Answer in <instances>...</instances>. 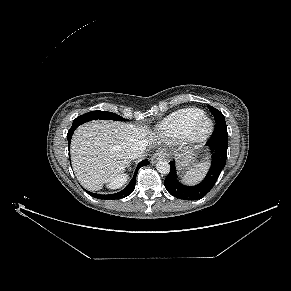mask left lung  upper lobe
I'll return each mask as SVG.
<instances>
[{
	"instance_id": "obj_1",
	"label": "left lung upper lobe",
	"mask_w": 291,
	"mask_h": 291,
	"mask_svg": "<svg viewBox=\"0 0 291 291\" xmlns=\"http://www.w3.org/2000/svg\"><path fill=\"white\" fill-rule=\"evenodd\" d=\"M209 109L215 117L216 127L221 126V127H224L225 129H227L224 115L219 110H217L216 108H214L212 106H209ZM181 199H188V197L183 196Z\"/></svg>"
}]
</instances>
